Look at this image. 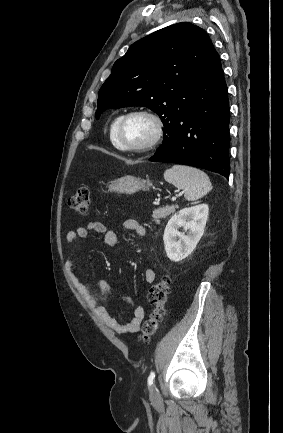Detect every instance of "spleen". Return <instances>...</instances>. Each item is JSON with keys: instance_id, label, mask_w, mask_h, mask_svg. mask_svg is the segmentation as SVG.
Wrapping results in <instances>:
<instances>
[{"instance_id": "obj_1", "label": "spleen", "mask_w": 283, "mask_h": 433, "mask_svg": "<svg viewBox=\"0 0 283 433\" xmlns=\"http://www.w3.org/2000/svg\"><path fill=\"white\" fill-rule=\"evenodd\" d=\"M164 178L177 188H186L184 196L187 200L202 198L212 188L210 178L203 170L185 164H173L165 170Z\"/></svg>"}]
</instances>
